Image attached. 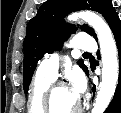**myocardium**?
Returning <instances> with one entry per match:
<instances>
[{"label":"myocardium","mask_w":121,"mask_h":113,"mask_svg":"<svg viewBox=\"0 0 121 113\" xmlns=\"http://www.w3.org/2000/svg\"><path fill=\"white\" fill-rule=\"evenodd\" d=\"M66 87V85L63 82H56L48 86V88L45 91V105L46 110H48L47 113H54L52 111L53 108V93L56 89ZM82 109L80 102L78 103L77 107L68 112V113H75L76 111H80Z\"/></svg>","instance_id":"1"}]
</instances>
